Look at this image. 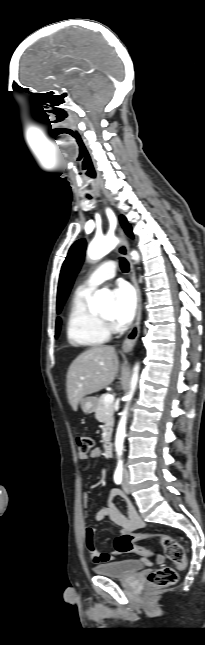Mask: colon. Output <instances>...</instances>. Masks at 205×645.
<instances>
[{"label":"colon","instance_id":"5ec220e1","mask_svg":"<svg viewBox=\"0 0 205 645\" xmlns=\"http://www.w3.org/2000/svg\"><path fill=\"white\" fill-rule=\"evenodd\" d=\"M79 453H89L93 448V441L86 435L76 438ZM158 538L162 544L165 556L172 561L177 569L186 566V557L183 546L173 537L159 533H138L134 535H120L114 541L115 550L122 553H136L143 557H150L152 552L137 545V540ZM178 573L176 569L168 566L161 567L148 575V583L153 588H164L176 584Z\"/></svg>","mask_w":205,"mask_h":645}]
</instances>
